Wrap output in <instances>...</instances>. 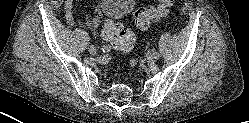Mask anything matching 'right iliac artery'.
I'll return each mask as SVG.
<instances>
[{"instance_id": "1", "label": "right iliac artery", "mask_w": 249, "mask_h": 123, "mask_svg": "<svg viewBox=\"0 0 249 123\" xmlns=\"http://www.w3.org/2000/svg\"><path fill=\"white\" fill-rule=\"evenodd\" d=\"M102 51L105 53V52H109L110 51V47L108 45H104L102 47Z\"/></svg>"}]
</instances>
